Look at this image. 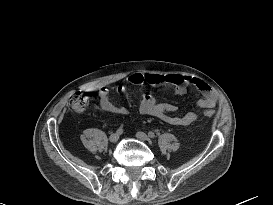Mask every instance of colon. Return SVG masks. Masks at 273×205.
Listing matches in <instances>:
<instances>
[{"mask_svg": "<svg viewBox=\"0 0 273 205\" xmlns=\"http://www.w3.org/2000/svg\"><path fill=\"white\" fill-rule=\"evenodd\" d=\"M91 96L92 94L89 91H75L69 95L67 102L72 110L83 112L88 108ZM204 115L210 118L214 113L210 110H206Z\"/></svg>", "mask_w": 273, "mask_h": 205, "instance_id": "colon-1", "label": "colon"}]
</instances>
